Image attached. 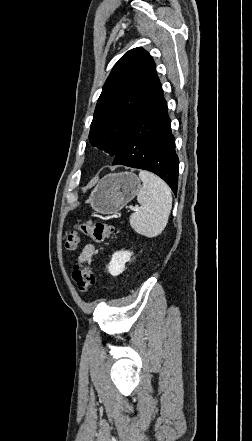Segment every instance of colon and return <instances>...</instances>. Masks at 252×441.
Here are the masks:
<instances>
[{"label": "colon", "mask_w": 252, "mask_h": 441, "mask_svg": "<svg viewBox=\"0 0 252 441\" xmlns=\"http://www.w3.org/2000/svg\"><path fill=\"white\" fill-rule=\"evenodd\" d=\"M85 235L91 237L95 242H102L115 233V228L101 221H86L78 226ZM79 244L77 231L68 233L65 246L67 250H75ZM72 278L79 291L85 293L95 284V275L91 267L77 264L72 273Z\"/></svg>", "instance_id": "colon-1"}]
</instances>
